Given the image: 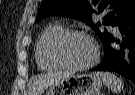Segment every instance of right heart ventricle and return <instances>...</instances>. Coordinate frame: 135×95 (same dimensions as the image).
Returning <instances> with one entry per match:
<instances>
[{"mask_svg": "<svg viewBox=\"0 0 135 95\" xmlns=\"http://www.w3.org/2000/svg\"><path fill=\"white\" fill-rule=\"evenodd\" d=\"M65 29L61 24L48 25L39 35L35 46V58L41 70L49 71L61 68L50 56V44Z\"/></svg>", "mask_w": 135, "mask_h": 95, "instance_id": "obj_1", "label": "right heart ventricle"}]
</instances>
